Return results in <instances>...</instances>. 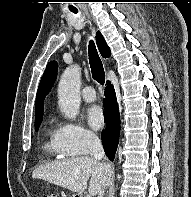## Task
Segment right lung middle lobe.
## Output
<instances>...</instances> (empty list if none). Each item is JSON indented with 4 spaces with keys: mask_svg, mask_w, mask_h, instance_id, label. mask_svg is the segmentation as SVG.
Segmentation results:
<instances>
[{
    "mask_svg": "<svg viewBox=\"0 0 191 197\" xmlns=\"http://www.w3.org/2000/svg\"><path fill=\"white\" fill-rule=\"evenodd\" d=\"M40 126V122L35 123V129L37 130Z\"/></svg>",
    "mask_w": 191,
    "mask_h": 197,
    "instance_id": "obj_1",
    "label": "right lung middle lobe"
}]
</instances>
